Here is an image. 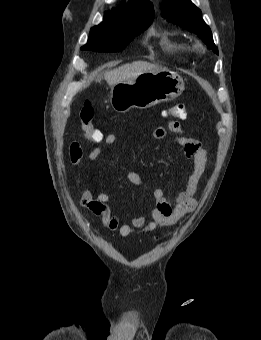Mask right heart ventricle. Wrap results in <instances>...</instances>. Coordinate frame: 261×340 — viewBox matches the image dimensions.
<instances>
[{"instance_id": "obj_1", "label": "right heart ventricle", "mask_w": 261, "mask_h": 340, "mask_svg": "<svg viewBox=\"0 0 261 340\" xmlns=\"http://www.w3.org/2000/svg\"><path fill=\"white\" fill-rule=\"evenodd\" d=\"M163 48L170 53H181L188 50L186 43L172 38L170 35H165L162 39Z\"/></svg>"}]
</instances>
